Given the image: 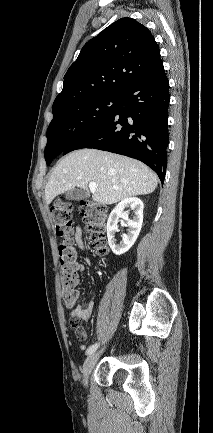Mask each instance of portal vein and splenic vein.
<instances>
[{"label":"portal vein and splenic vein","instance_id":"18ae733b","mask_svg":"<svg viewBox=\"0 0 213 433\" xmlns=\"http://www.w3.org/2000/svg\"><path fill=\"white\" fill-rule=\"evenodd\" d=\"M97 187V184L95 182H90L89 183V188L91 191H94Z\"/></svg>","mask_w":213,"mask_h":433}]
</instances>
